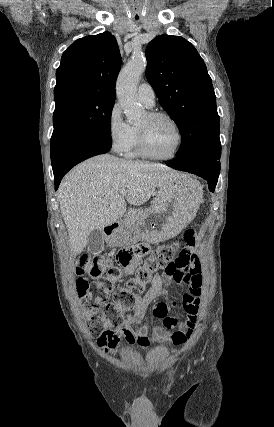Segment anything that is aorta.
I'll return each mask as SVG.
<instances>
[{"label": "aorta", "mask_w": 274, "mask_h": 427, "mask_svg": "<svg viewBox=\"0 0 274 427\" xmlns=\"http://www.w3.org/2000/svg\"><path fill=\"white\" fill-rule=\"evenodd\" d=\"M146 64L143 53L134 54L121 70L117 79L118 101L130 123L139 120L144 111L137 102V86L141 75L146 69Z\"/></svg>", "instance_id": "aorta-1"}]
</instances>
